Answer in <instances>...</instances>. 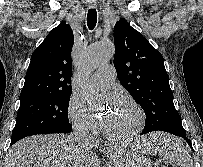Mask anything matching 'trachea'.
<instances>
[{
    "instance_id": "trachea-1",
    "label": "trachea",
    "mask_w": 203,
    "mask_h": 167,
    "mask_svg": "<svg viewBox=\"0 0 203 167\" xmlns=\"http://www.w3.org/2000/svg\"><path fill=\"white\" fill-rule=\"evenodd\" d=\"M97 23L96 9H90L87 14V25L90 30L94 29Z\"/></svg>"
}]
</instances>
